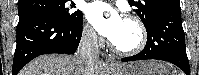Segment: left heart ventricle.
<instances>
[{
  "label": "left heart ventricle",
  "instance_id": "b2bd125f",
  "mask_svg": "<svg viewBox=\"0 0 199 75\" xmlns=\"http://www.w3.org/2000/svg\"><path fill=\"white\" fill-rule=\"evenodd\" d=\"M112 42L120 47L135 46L138 42L137 28L131 22L125 20L122 29Z\"/></svg>",
  "mask_w": 199,
  "mask_h": 75
}]
</instances>
